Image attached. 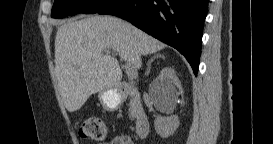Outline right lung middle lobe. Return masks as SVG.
<instances>
[{
  "label": "right lung middle lobe",
  "instance_id": "dd1d6c3e",
  "mask_svg": "<svg viewBox=\"0 0 273 144\" xmlns=\"http://www.w3.org/2000/svg\"><path fill=\"white\" fill-rule=\"evenodd\" d=\"M110 0H55L52 8V18H63L78 13L93 14Z\"/></svg>",
  "mask_w": 273,
  "mask_h": 144
}]
</instances>
